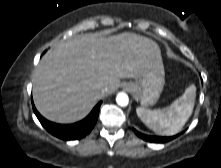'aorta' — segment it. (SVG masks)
I'll list each match as a JSON object with an SVG mask.
<instances>
[{"instance_id": "762f6f07", "label": "aorta", "mask_w": 221, "mask_h": 168, "mask_svg": "<svg viewBox=\"0 0 221 168\" xmlns=\"http://www.w3.org/2000/svg\"><path fill=\"white\" fill-rule=\"evenodd\" d=\"M116 102L119 106L125 107L129 103L128 95L124 92H120L116 96Z\"/></svg>"}]
</instances>
